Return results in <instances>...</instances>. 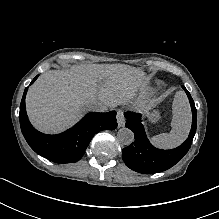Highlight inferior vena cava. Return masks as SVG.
Instances as JSON below:
<instances>
[{
  "instance_id": "602c4592",
  "label": "inferior vena cava",
  "mask_w": 219,
  "mask_h": 219,
  "mask_svg": "<svg viewBox=\"0 0 219 219\" xmlns=\"http://www.w3.org/2000/svg\"><path fill=\"white\" fill-rule=\"evenodd\" d=\"M111 107V105L108 102H93L89 105V109L95 112H107L108 108Z\"/></svg>"
}]
</instances>
